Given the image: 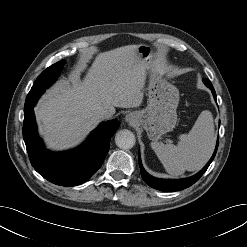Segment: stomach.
Here are the masks:
<instances>
[{"mask_svg":"<svg viewBox=\"0 0 247 247\" xmlns=\"http://www.w3.org/2000/svg\"><path fill=\"white\" fill-rule=\"evenodd\" d=\"M137 52L147 65L152 63L154 50L151 46L138 45ZM178 103V89L163 78L158 69L152 68L148 86V105L137 112L138 123L146 130L151 140H157L175 127Z\"/></svg>","mask_w":247,"mask_h":247,"instance_id":"obj_1","label":"stomach"}]
</instances>
